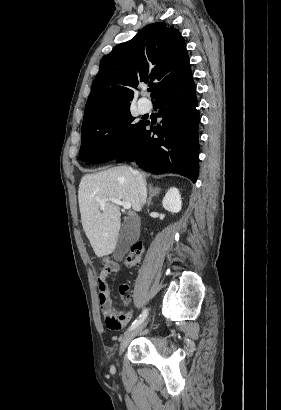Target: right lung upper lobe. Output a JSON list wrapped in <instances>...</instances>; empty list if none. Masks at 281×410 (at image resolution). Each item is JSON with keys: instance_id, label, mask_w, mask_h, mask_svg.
Instances as JSON below:
<instances>
[{"instance_id": "right-lung-upper-lobe-1", "label": "right lung upper lobe", "mask_w": 281, "mask_h": 410, "mask_svg": "<svg viewBox=\"0 0 281 410\" xmlns=\"http://www.w3.org/2000/svg\"><path fill=\"white\" fill-rule=\"evenodd\" d=\"M191 80L189 57L179 31L158 22L147 25L133 39L117 45L102 58L85 106L83 124L130 107L133 89L140 82H154L152 99L156 100Z\"/></svg>"}]
</instances>
